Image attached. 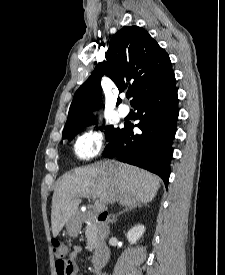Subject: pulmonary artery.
Returning a JSON list of instances; mask_svg holds the SVG:
<instances>
[{"instance_id":"1","label":"pulmonary artery","mask_w":225,"mask_h":275,"mask_svg":"<svg viewBox=\"0 0 225 275\" xmlns=\"http://www.w3.org/2000/svg\"><path fill=\"white\" fill-rule=\"evenodd\" d=\"M128 113H129V107L128 106L122 105V106H120L118 108V114H119V116L125 117V116L128 115Z\"/></svg>"}]
</instances>
